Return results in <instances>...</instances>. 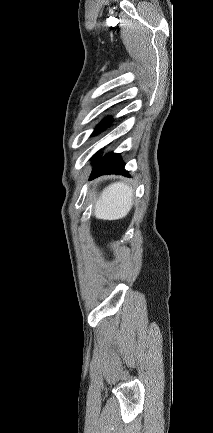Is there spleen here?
Masks as SVG:
<instances>
[{
	"mask_svg": "<svg viewBox=\"0 0 213 433\" xmlns=\"http://www.w3.org/2000/svg\"><path fill=\"white\" fill-rule=\"evenodd\" d=\"M133 189L118 182L107 187L96 200L94 214L103 220H118L125 217L132 208Z\"/></svg>",
	"mask_w": 213,
	"mask_h": 433,
	"instance_id": "spleen-1",
	"label": "spleen"
}]
</instances>
